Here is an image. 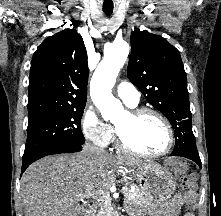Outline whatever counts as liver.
Returning <instances> with one entry per match:
<instances>
[{
  "instance_id": "1",
  "label": "liver",
  "mask_w": 221,
  "mask_h": 216,
  "mask_svg": "<svg viewBox=\"0 0 221 216\" xmlns=\"http://www.w3.org/2000/svg\"><path fill=\"white\" fill-rule=\"evenodd\" d=\"M140 159L87 151L44 157L22 175L20 197L25 216H80L79 195L109 188L126 166L140 167Z\"/></svg>"
}]
</instances>
